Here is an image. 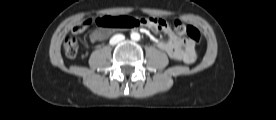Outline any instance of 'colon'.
I'll use <instances>...</instances> for the list:
<instances>
[{
	"mask_svg": "<svg viewBox=\"0 0 276 120\" xmlns=\"http://www.w3.org/2000/svg\"><path fill=\"white\" fill-rule=\"evenodd\" d=\"M89 21L77 26L78 29L83 30L89 24ZM97 25L102 29H126L137 26L139 23L145 25H152L160 29L165 21L159 18L144 17L141 19L132 18L129 16H103L96 20ZM174 31L178 36L187 37L193 42L200 41V32L194 26H187L179 21L174 23ZM64 52L67 57L74 58L78 53V41L75 37L69 36L65 39L63 44Z\"/></svg>",
	"mask_w": 276,
	"mask_h": 120,
	"instance_id": "obj_1",
	"label": "colon"
}]
</instances>
